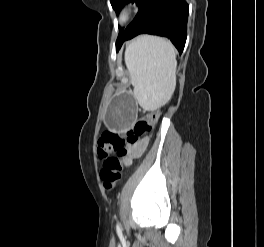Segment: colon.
Returning <instances> with one entry per match:
<instances>
[{"mask_svg":"<svg viewBox=\"0 0 264 247\" xmlns=\"http://www.w3.org/2000/svg\"><path fill=\"white\" fill-rule=\"evenodd\" d=\"M156 119L157 112L153 110L136 120L131 128L122 133L107 130L101 135L97 155L103 161L100 179L106 190H112L121 179L123 159L128 154L127 147L150 133Z\"/></svg>","mask_w":264,"mask_h":247,"instance_id":"5ec220e1","label":"colon"}]
</instances>
